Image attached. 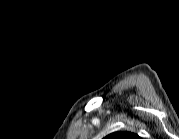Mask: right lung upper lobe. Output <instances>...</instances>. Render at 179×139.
<instances>
[{
  "label": "right lung upper lobe",
  "instance_id": "obj_1",
  "mask_svg": "<svg viewBox=\"0 0 179 139\" xmlns=\"http://www.w3.org/2000/svg\"><path fill=\"white\" fill-rule=\"evenodd\" d=\"M105 138L106 139H136L138 138V136L131 132H115L108 135Z\"/></svg>",
  "mask_w": 179,
  "mask_h": 139
}]
</instances>
